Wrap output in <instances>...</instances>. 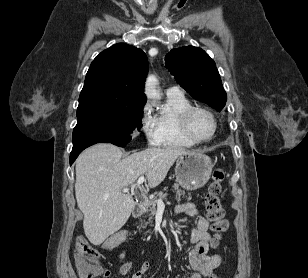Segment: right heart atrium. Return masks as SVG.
<instances>
[{"label":"right heart atrium","mask_w":308,"mask_h":278,"mask_svg":"<svg viewBox=\"0 0 308 278\" xmlns=\"http://www.w3.org/2000/svg\"><path fill=\"white\" fill-rule=\"evenodd\" d=\"M139 127L147 142L151 145H157L158 135L156 118L152 114V110L149 104H145L142 108Z\"/></svg>","instance_id":"obj_1"}]
</instances>
